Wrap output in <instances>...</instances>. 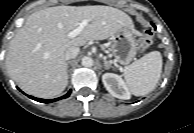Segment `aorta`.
Listing matches in <instances>:
<instances>
[{
	"instance_id": "762f6f07",
	"label": "aorta",
	"mask_w": 194,
	"mask_h": 133,
	"mask_svg": "<svg viewBox=\"0 0 194 133\" xmlns=\"http://www.w3.org/2000/svg\"><path fill=\"white\" fill-rule=\"evenodd\" d=\"M93 59L92 58H90V57H84L83 59H82V65L84 66V67H91V66H93Z\"/></svg>"
}]
</instances>
